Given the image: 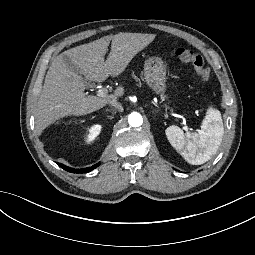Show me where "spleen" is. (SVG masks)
Wrapping results in <instances>:
<instances>
[{
  "mask_svg": "<svg viewBox=\"0 0 255 255\" xmlns=\"http://www.w3.org/2000/svg\"><path fill=\"white\" fill-rule=\"evenodd\" d=\"M203 127L205 130L201 133L193 132L187 136L179 127L174 125L165 130L171 146L178 150L189 164L199 165L211 159L222 141L221 113L212 104L207 107Z\"/></svg>",
  "mask_w": 255,
  "mask_h": 255,
  "instance_id": "spleen-1",
  "label": "spleen"
}]
</instances>
